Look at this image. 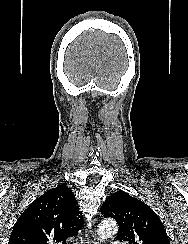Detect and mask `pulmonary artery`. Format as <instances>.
I'll return each mask as SVG.
<instances>
[{
    "mask_svg": "<svg viewBox=\"0 0 188 244\" xmlns=\"http://www.w3.org/2000/svg\"><path fill=\"white\" fill-rule=\"evenodd\" d=\"M113 244H124V243H122V242H114Z\"/></svg>",
    "mask_w": 188,
    "mask_h": 244,
    "instance_id": "e3ab8cb5",
    "label": "pulmonary artery"
}]
</instances>
